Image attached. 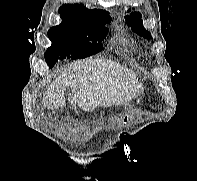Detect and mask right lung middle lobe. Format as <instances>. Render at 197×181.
<instances>
[{"mask_svg": "<svg viewBox=\"0 0 197 181\" xmlns=\"http://www.w3.org/2000/svg\"><path fill=\"white\" fill-rule=\"evenodd\" d=\"M110 22V16L62 19L61 24L48 30L52 45L44 57L49 67L59 59H81L98 53L102 49L101 41L108 34L105 25Z\"/></svg>", "mask_w": 197, "mask_h": 181, "instance_id": "right-lung-middle-lobe-1", "label": "right lung middle lobe"}]
</instances>
